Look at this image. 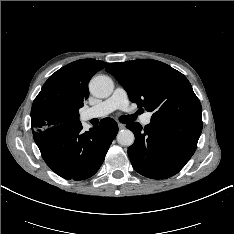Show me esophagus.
I'll return each instance as SVG.
<instances>
[{
	"label": "esophagus",
	"instance_id": "34e87169",
	"mask_svg": "<svg viewBox=\"0 0 234 234\" xmlns=\"http://www.w3.org/2000/svg\"><path fill=\"white\" fill-rule=\"evenodd\" d=\"M118 127L120 130L125 129V125L122 123H118Z\"/></svg>",
	"mask_w": 234,
	"mask_h": 234
}]
</instances>
